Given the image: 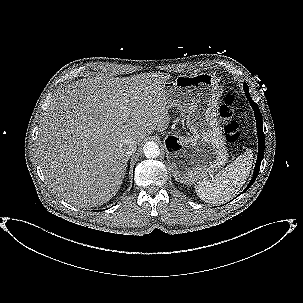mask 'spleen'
I'll return each mask as SVG.
<instances>
[{
    "mask_svg": "<svg viewBox=\"0 0 303 303\" xmlns=\"http://www.w3.org/2000/svg\"><path fill=\"white\" fill-rule=\"evenodd\" d=\"M252 150H246L235 161L219 171L212 180L204 179L196 187L198 197L212 205L229 201L246 182L253 163Z\"/></svg>",
    "mask_w": 303,
    "mask_h": 303,
    "instance_id": "spleen-1",
    "label": "spleen"
}]
</instances>
